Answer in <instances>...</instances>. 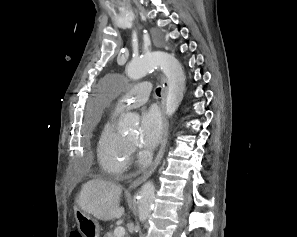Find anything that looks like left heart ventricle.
<instances>
[{
	"label": "left heart ventricle",
	"mask_w": 297,
	"mask_h": 237,
	"mask_svg": "<svg viewBox=\"0 0 297 237\" xmlns=\"http://www.w3.org/2000/svg\"><path fill=\"white\" fill-rule=\"evenodd\" d=\"M138 134L137 132H132L129 135H127L125 138L131 142H135L137 140Z\"/></svg>",
	"instance_id": "left-heart-ventricle-1"
}]
</instances>
